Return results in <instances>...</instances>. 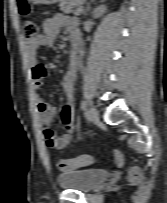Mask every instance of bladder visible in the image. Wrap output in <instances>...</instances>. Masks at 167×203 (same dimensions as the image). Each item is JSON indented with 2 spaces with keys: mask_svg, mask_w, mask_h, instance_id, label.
<instances>
[{
  "mask_svg": "<svg viewBox=\"0 0 167 203\" xmlns=\"http://www.w3.org/2000/svg\"><path fill=\"white\" fill-rule=\"evenodd\" d=\"M111 173L103 169L68 170L57 176L58 184L62 188L90 191L97 185L110 179Z\"/></svg>",
  "mask_w": 167,
  "mask_h": 203,
  "instance_id": "31cf9c89",
  "label": "bladder"
}]
</instances>
